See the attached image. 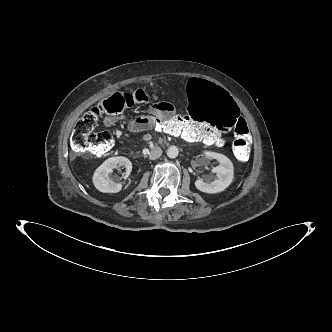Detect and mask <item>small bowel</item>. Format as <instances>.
<instances>
[{
	"label": "small bowel",
	"mask_w": 332,
	"mask_h": 332,
	"mask_svg": "<svg viewBox=\"0 0 332 332\" xmlns=\"http://www.w3.org/2000/svg\"><path fill=\"white\" fill-rule=\"evenodd\" d=\"M131 99L133 102L138 104H145L149 101L147 92L143 88H135L131 92ZM150 110L154 113V119L157 115H160L164 120H172L176 116L175 107L172 103L167 101H159L154 103ZM103 124L107 128L117 127H128L129 131L139 133L144 131H149L153 129V124H145L140 120V115L134 118H129L126 114H121L114 116L112 114H107L103 118ZM187 140H192V136H186Z\"/></svg>",
	"instance_id": "1"
}]
</instances>
